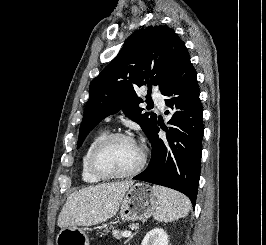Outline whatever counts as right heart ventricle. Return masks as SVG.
Wrapping results in <instances>:
<instances>
[{"label": "right heart ventricle", "mask_w": 266, "mask_h": 245, "mask_svg": "<svg viewBox=\"0 0 266 245\" xmlns=\"http://www.w3.org/2000/svg\"><path fill=\"white\" fill-rule=\"evenodd\" d=\"M106 133H108V129L106 127L100 128L91 136L84 149L80 162V176L82 181L86 184L94 185L103 181L91 171L89 164V157H90V152L95 143Z\"/></svg>", "instance_id": "obj_1"}]
</instances>
